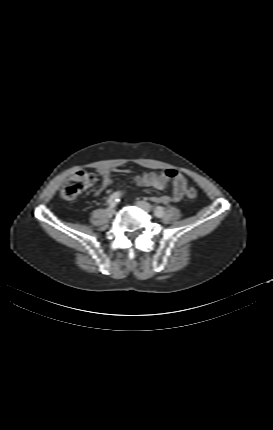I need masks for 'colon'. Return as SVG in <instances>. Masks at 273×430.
Here are the masks:
<instances>
[{
  "label": "colon",
  "mask_w": 273,
  "mask_h": 430,
  "mask_svg": "<svg viewBox=\"0 0 273 430\" xmlns=\"http://www.w3.org/2000/svg\"><path fill=\"white\" fill-rule=\"evenodd\" d=\"M96 181L93 173L80 171L74 174L63 186L61 196L65 200H73L81 193L91 187ZM197 196V190L193 187L187 190V197L194 199Z\"/></svg>",
  "instance_id": "obj_1"
}]
</instances>
